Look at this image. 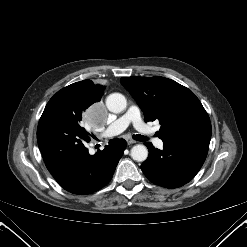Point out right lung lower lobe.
<instances>
[{
    "mask_svg": "<svg viewBox=\"0 0 247 247\" xmlns=\"http://www.w3.org/2000/svg\"><path fill=\"white\" fill-rule=\"evenodd\" d=\"M37 141L46 167L59 185L74 194H90L111 180L126 148L124 139H112L105 149L90 155L88 132L65 117L43 113Z\"/></svg>",
    "mask_w": 247,
    "mask_h": 247,
    "instance_id": "right-lung-lower-lobe-1",
    "label": "right lung lower lobe"
}]
</instances>
